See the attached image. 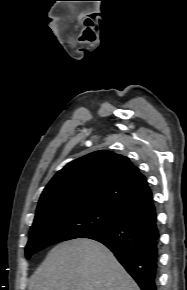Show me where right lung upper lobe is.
<instances>
[{"label":"right lung upper lobe","instance_id":"cb5924a9","mask_svg":"<svg viewBox=\"0 0 187 290\" xmlns=\"http://www.w3.org/2000/svg\"><path fill=\"white\" fill-rule=\"evenodd\" d=\"M92 205L112 208L126 219L155 212L145 176L125 156L100 150L70 162L52 178L35 219Z\"/></svg>","mask_w":187,"mask_h":290}]
</instances>
